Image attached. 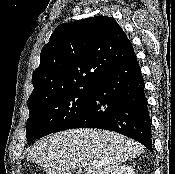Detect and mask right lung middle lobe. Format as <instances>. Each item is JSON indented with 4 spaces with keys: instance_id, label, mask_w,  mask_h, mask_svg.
Returning a JSON list of instances; mask_svg holds the SVG:
<instances>
[{
    "instance_id": "obj_1",
    "label": "right lung middle lobe",
    "mask_w": 175,
    "mask_h": 174,
    "mask_svg": "<svg viewBox=\"0 0 175 174\" xmlns=\"http://www.w3.org/2000/svg\"><path fill=\"white\" fill-rule=\"evenodd\" d=\"M94 85L72 89L28 105L26 136L33 141L65 130L85 109Z\"/></svg>"
}]
</instances>
